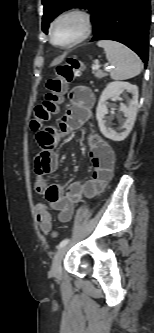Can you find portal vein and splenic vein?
<instances>
[{
  "label": "portal vein and splenic vein",
  "instance_id": "18ae733b",
  "mask_svg": "<svg viewBox=\"0 0 154 333\" xmlns=\"http://www.w3.org/2000/svg\"><path fill=\"white\" fill-rule=\"evenodd\" d=\"M95 67L98 68L99 65L97 64ZM104 68H105V70H110V69L113 68V67H112V66L104 65Z\"/></svg>",
  "mask_w": 154,
  "mask_h": 333
}]
</instances>
